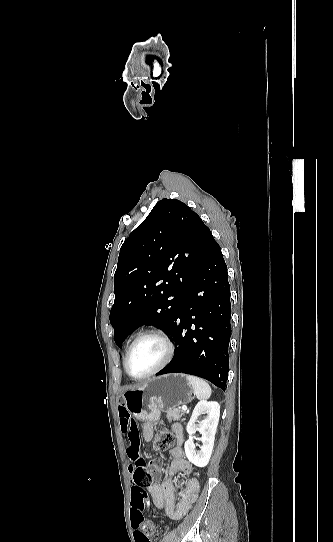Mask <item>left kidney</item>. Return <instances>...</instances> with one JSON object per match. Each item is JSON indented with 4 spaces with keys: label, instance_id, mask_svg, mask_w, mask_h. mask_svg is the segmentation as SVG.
I'll return each instance as SVG.
<instances>
[{
    "label": "left kidney",
    "instance_id": "5707ae66",
    "mask_svg": "<svg viewBox=\"0 0 333 542\" xmlns=\"http://www.w3.org/2000/svg\"><path fill=\"white\" fill-rule=\"evenodd\" d=\"M202 414H206L204 420L199 422V424H195ZM219 416L220 406L218 402H205V400H201V402H198L197 406H195L190 422H188L186 426L189 440L184 444L185 454L189 462L194 464V466H198V468H205L211 458ZM196 432L202 434L200 438L202 446H200L199 452L195 450L196 446L192 438L193 434H196Z\"/></svg>",
    "mask_w": 333,
    "mask_h": 542
}]
</instances>
